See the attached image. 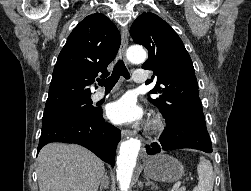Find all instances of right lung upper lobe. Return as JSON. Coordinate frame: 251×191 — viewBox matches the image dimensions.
Here are the masks:
<instances>
[{"mask_svg": "<svg viewBox=\"0 0 251 191\" xmlns=\"http://www.w3.org/2000/svg\"><path fill=\"white\" fill-rule=\"evenodd\" d=\"M121 38L105 15L95 13L81 21L69 35L54 67L45 109L90 99L88 88L98 73L106 77Z\"/></svg>", "mask_w": 251, "mask_h": 191, "instance_id": "obj_1", "label": "right lung upper lobe"}]
</instances>
